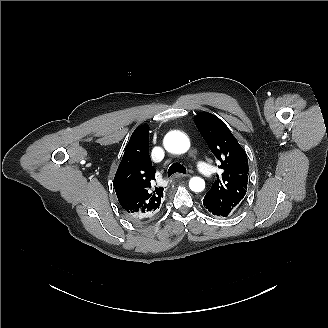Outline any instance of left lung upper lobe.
<instances>
[{"label":"left lung upper lobe","mask_w":328,"mask_h":328,"mask_svg":"<svg viewBox=\"0 0 328 328\" xmlns=\"http://www.w3.org/2000/svg\"><path fill=\"white\" fill-rule=\"evenodd\" d=\"M194 121L216 158L222 174L206 193V209L227 217L244 198L248 182V159L229 128L217 116L202 112Z\"/></svg>","instance_id":"left-lung-upper-lobe-1"}]
</instances>
